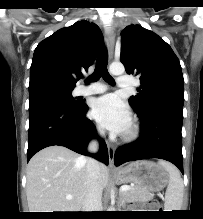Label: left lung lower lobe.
Instances as JSON below:
<instances>
[{
    "instance_id": "1",
    "label": "left lung lower lobe",
    "mask_w": 203,
    "mask_h": 219,
    "mask_svg": "<svg viewBox=\"0 0 203 219\" xmlns=\"http://www.w3.org/2000/svg\"><path fill=\"white\" fill-rule=\"evenodd\" d=\"M139 117L141 135L135 142L124 145L116 151L115 165L119 166L128 161L159 158L173 163L183 173L181 134L183 107H156Z\"/></svg>"
}]
</instances>
